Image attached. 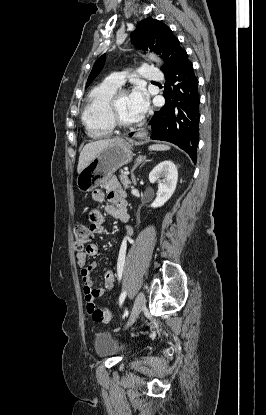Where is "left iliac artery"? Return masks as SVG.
<instances>
[{
    "mask_svg": "<svg viewBox=\"0 0 266 415\" xmlns=\"http://www.w3.org/2000/svg\"><path fill=\"white\" fill-rule=\"evenodd\" d=\"M121 277H122V271H119L118 272V278H119V280L121 279ZM125 297H126V291L122 292L121 295H120V298H119L120 305H122Z\"/></svg>",
    "mask_w": 266,
    "mask_h": 415,
    "instance_id": "obj_1",
    "label": "left iliac artery"
}]
</instances>
